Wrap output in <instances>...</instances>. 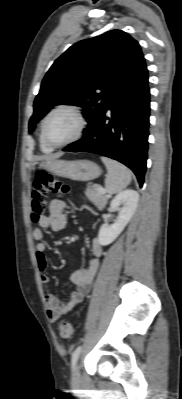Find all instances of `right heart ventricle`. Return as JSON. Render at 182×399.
<instances>
[{"label":"right heart ventricle","instance_id":"1","mask_svg":"<svg viewBox=\"0 0 182 399\" xmlns=\"http://www.w3.org/2000/svg\"><path fill=\"white\" fill-rule=\"evenodd\" d=\"M40 146H41L42 151H44V152H50V151H52V149H53V148H51L50 146H48V145L43 141L41 134H40Z\"/></svg>","mask_w":182,"mask_h":399}]
</instances>
